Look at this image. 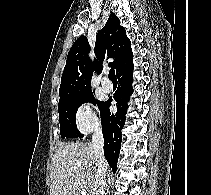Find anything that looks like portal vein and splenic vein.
Segmentation results:
<instances>
[{
	"instance_id": "portal-vein-and-splenic-vein-1",
	"label": "portal vein and splenic vein",
	"mask_w": 211,
	"mask_h": 195,
	"mask_svg": "<svg viewBox=\"0 0 211 195\" xmlns=\"http://www.w3.org/2000/svg\"><path fill=\"white\" fill-rule=\"evenodd\" d=\"M82 195H87L85 190L81 191Z\"/></svg>"
}]
</instances>
